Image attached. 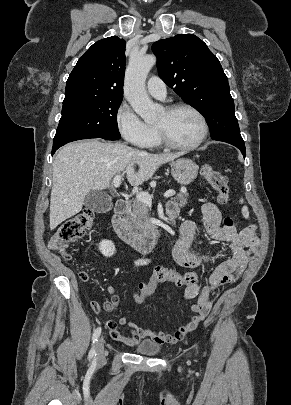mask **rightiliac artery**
Returning <instances> with one entry per match:
<instances>
[{"label": "right iliac artery", "instance_id": "obj_1", "mask_svg": "<svg viewBox=\"0 0 291 405\" xmlns=\"http://www.w3.org/2000/svg\"><path fill=\"white\" fill-rule=\"evenodd\" d=\"M135 264H136V265H143V264H146V261H144V260H137V261L135 262ZM100 334H101V327H98V328L95 329V331H94V333H93V336H92L93 347H92V349H91L90 352H89V358H90V359L96 356L95 343L98 341V338H99Z\"/></svg>", "mask_w": 291, "mask_h": 405}]
</instances>
